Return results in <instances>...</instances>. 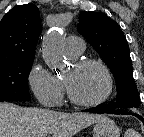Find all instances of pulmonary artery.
<instances>
[{"instance_id":"pulmonary-artery-1","label":"pulmonary artery","mask_w":144,"mask_h":137,"mask_svg":"<svg viewBox=\"0 0 144 137\" xmlns=\"http://www.w3.org/2000/svg\"><path fill=\"white\" fill-rule=\"evenodd\" d=\"M84 49V42L76 36H69L65 40L66 53L71 57L79 56Z\"/></svg>"}]
</instances>
